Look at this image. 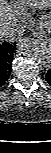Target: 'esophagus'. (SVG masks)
Returning <instances> with one entry per match:
<instances>
[{"mask_svg":"<svg viewBox=\"0 0 51 153\" xmlns=\"http://www.w3.org/2000/svg\"><path fill=\"white\" fill-rule=\"evenodd\" d=\"M34 36L38 39L42 38V33L40 31H34Z\"/></svg>","mask_w":51,"mask_h":153,"instance_id":"1","label":"esophagus"}]
</instances>
